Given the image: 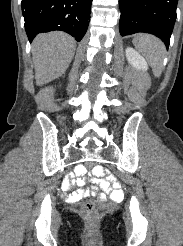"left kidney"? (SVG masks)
Here are the masks:
<instances>
[{
  "instance_id": "obj_1",
  "label": "left kidney",
  "mask_w": 183,
  "mask_h": 246,
  "mask_svg": "<svg viewBox=\"0 0 183 246\" xmlns=\"http://www.w3.org/2000/svg\"><path fill=\"white\" fill-rule=\"evenodd\" d=\"M126 57L129 63L136 69L146 71L148 69V63L136 50L131 47L126 49Z\"/></svg>"
}]
</instances>
